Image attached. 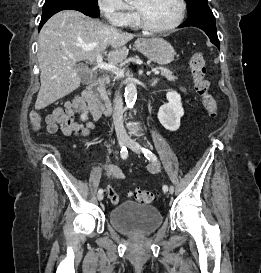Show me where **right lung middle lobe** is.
<instances>
[{
    "instance_id": "1",
    "label": "right lung middle lobe",
    "mask_w": 261,
    "mask_h": 273,
    "mask_svg": "<svg viewBox=\"0 0 261 273\" xmlns=\"http://www.w3.org/2000/svg\"><path fill=\"white\" fill-rule=\"evenodd\" d=\"M85 5L95 13L99 14L98 0H82ZM71 0H46L43 6L42 16L54 15L55 13L70 9Z\"/></svg>"
}]
</instances>
